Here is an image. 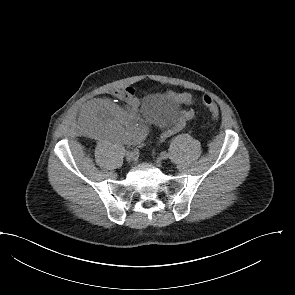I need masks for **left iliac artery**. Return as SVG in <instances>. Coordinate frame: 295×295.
I'll list each match as a JSON object with an SVG mask.
<instances>
[{
    "mask_svg": "<svg viewBox=\"0 0 295 295\" xmlns=\"http://www.w3.org/2000/svg\"><path fill=\"white\" fill-rule=\"evenodd\" d=\"M161 156H162L163 158H166L167 153H166L165 151H163V152H161Z\"/></svg>",
    "mask_w": 295,
    "mask_h": 295,
    "instance_id": "44dca946",
    "label": "left iliac artery"
}]
</instances>
